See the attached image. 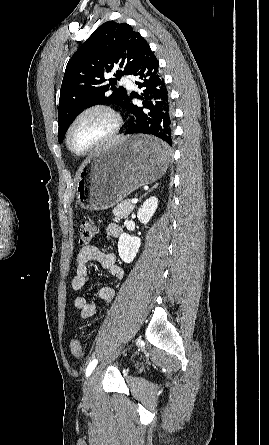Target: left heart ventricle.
Segmentation results:
<instances>
[{"instance_id": "left-heart-ventricle-1", "label": "left heart ventricle", "mask_w": 269, "mask_h": 445, "mask_svg": "<svg viewBox=\"0 0 269 445\" xmlns=\"http://www.w3.org/2000/svg\"><path fill=\"white\" fill-rule=\"evenodd\" d=\"M109 120L102 114H90L83 118L71 135V146L81 151L103 136L109 129Z\"/></svg>"}]
</instances>
